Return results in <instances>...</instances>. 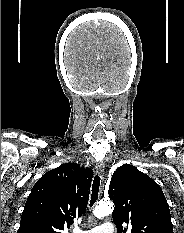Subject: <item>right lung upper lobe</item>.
<instances>
[{
    "label": "right lung upper lobe",
    "instance_id": "1",
    "mask_svg": "<svg viewBox=\"0 0 184 233\" xmlns=\"http://www.w3.org/2000/svg\"><path fill=\"white\" fill-rule=\"evenodd\" d=\"M92 177V169L76 163L45 173L27 198L17 233H63L85 212Z\"/></svg>",
    "mask_w": 184,
    "mask_h": 233
}]
</instances>
